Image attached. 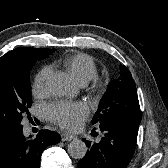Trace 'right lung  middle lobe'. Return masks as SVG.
I'll return each mask as SVG.
<instances>
[{
  "label": "right lung middle lobe",
  "instance_id": "dd1d6c3e",
  "mask_svg": "<svg viewBox=\"0 0 168 168\" xmlns=\"http://www.w3.org/2000/svg\"><path fill=\"white\" fill-rule=\"evenodd\" d=\"M51 49L45 54H28L6 79L0 80V130L21 125L23 116L31 107L30 69L37 60L45 58L54 52Z\"/></svg>",
  "mask_w": 168,
  "mask_h": 168
}]
</instances>
